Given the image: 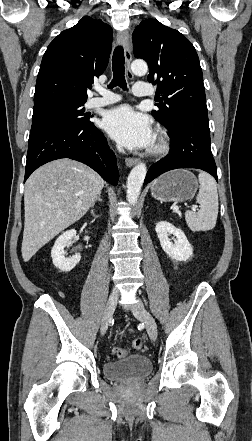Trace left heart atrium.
I'll return each instance as SVG.
<instances>
[{
	"label": "left heart atrium",
	"mask_w": 252,
	"mask_h": 441,
	"mask_svg": "<svg viewBox=\"0 0 252 441\" xmlns=\"http://www.w3.org/2000/svg\"><path fill=\"white\" fill-rule=\"evenodd\" d=\"M103 127L114 140L129 149L149 148L155 141L150 119L128 105L108 111Z\"/></svg>",
	"instance_id": "obj_1"
}]
</instances>
